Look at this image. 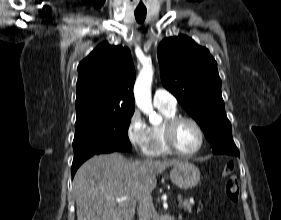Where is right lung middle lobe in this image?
Returning a JSON list of instances; mask_svg holds the SVG:
<instances>
[{"instance_id": "obj_1", "label": "right lung middle lobe", "mask_w": 281, "mask_h": 220, "mask_svg": "<svg viewBox=\"0 0 281 220\" xmlns=\"http://www.w3.org/2000/svg\"><path fill=\"white\" fill-rule=\"evenodd\" d=\"M134 112L108 113L76 119L74 158L110 150L131 151L128 128Z\"/></svg>"}]
</instances>
